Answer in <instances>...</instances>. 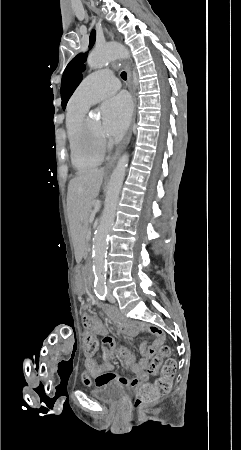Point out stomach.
<instances>
[{
    "instance_id": "obj_1",
    "label": "stomach",
    "mask_w": 241,
    "mask_h": 450,
    "mask_svg": "<svg viewBox=\"0 0 241 450\" xmlns=\"http://www.w3.org/2000/svg\"><path fill=\"white\" fill-rule=\"evenodd\" d=\"M73 282H74L76 289H78V290L83 289L84 282H85V276H84L83 270L80 265H78L75 268Z\"/></svg>"
}]
</instances>
